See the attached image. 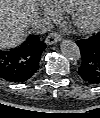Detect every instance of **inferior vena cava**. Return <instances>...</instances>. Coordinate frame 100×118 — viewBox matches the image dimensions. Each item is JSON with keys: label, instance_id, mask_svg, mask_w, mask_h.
Masks as SVG:
<instances>
[{"label": "inferior vena cava", "instance_id": "obj_1", "mask_svg": "<svg viewBox=\"0 0 100 118\" xmlns=\"http://www.w3.org/2000/svg\"><path fill=\"white\" fill-rule=\"evenodd\" d=\"M30 28L37 34H43L52 29V23L47 18L37 17L31 22Z\"/></svg>", "mask_w": 100, "mask_h": 118}]
</instances>
